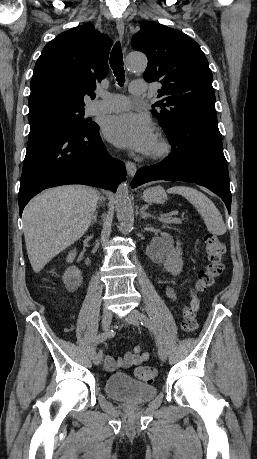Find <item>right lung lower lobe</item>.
I'll return each mask as SVG.
<instances>
[{
	"label": "right lung lower lobe",
	"instance_id": "obj_1",
	"mask_svg": "<svg viewBox=\"0 0 257 459\" xmlns=\"http://www.w3.org/2000/svg\"><path fill=\"white\" fill-rule=\"evenodd\" d=\"M125 176L124 163L110 157L96 123L76 130L52 122H31L20 180V216L29 200L46 188L85 184L116 192Z\"/></svg>",
	"mask_w": 257,
	"mask_h": 459
}]
</instances>
